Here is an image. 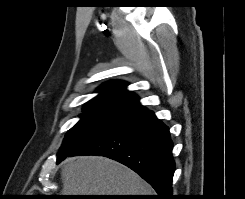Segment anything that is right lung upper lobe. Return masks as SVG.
Returning <instances> with one entry per match:
<instances>
[{"instance_id": "right-lung-upper-lobe-1", "label": "right lung upper lobe", "mask_w": 245, "mask_h": 199, "mask_svg": "<svg viewBox=\"0 0 245 199\" xmlns=\"http://www.w3.org/2000/svg\"><path fill=\"white\" fill-rule=\"evenodd\" d=\"M127 84L122 81H110L98 88L100 94L90 100L85 108L121 114L126 117L146 110L139 103V98L126 90Z\"/></svg>"}]
</instances>
